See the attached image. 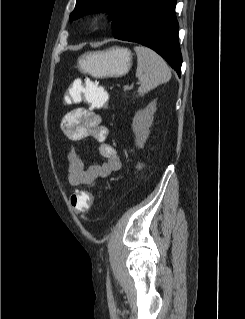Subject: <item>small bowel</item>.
Returning a JSON list of instances; mask_svg holds the SVG:
<instances>
[{
    "label": "small bowel",
    "mask_w": 245,
    "mask_h": 319,
    "mask_svg": "<svg viewBox=\"0 0 245 319\" xmlns=\"http://www.w3.org/2000/svg\"><path fill=\"white\" fill-rule=\"evenodd\" d=\"M80 80H75L67 95V104L77 103L76 93L81 86ZM62 130L70 141H81L93 138L98 143V150L103 158L100 164L86 166L84 158L73 147L66 154L68 166V182L72 187L91 189L101 179L109 177L121 169V161L115 149L108 143L107 127L102 123L101 116L92 108L78 107L66 113L62 120Z\"/></svg>",
    "instance_id": "1"
}]
</instances>
